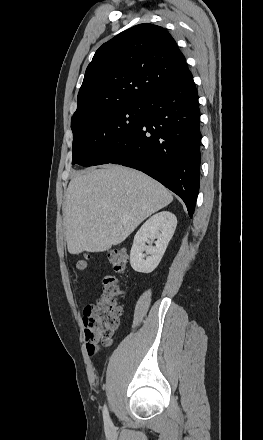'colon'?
<instances>
[{
  "mask_svg": "<svg viewBox=\"0 0 263 440\" xmlns=\"http://www.w3.org/2000/svg\"><path fill=\"white\" fill-rule=\"evenodd\" d=\"M108 261L116 274H123L128 263V254L123 249L114 248L108 252ZM76 266L79 271H84L87 268L86 258L79 259ZM124 295L125 292L116 278L107 276L103 279L102 294L85 308L83 322L89 356H98L103 347L112 340L123 313L120 299Z\"/></svg>",
  "mask_w": 263,
  "mask_h": 440,
  "instance_id": "1",
  "label": "colon"
}]
</instances>
